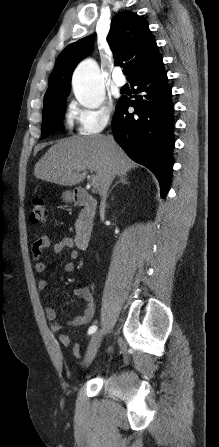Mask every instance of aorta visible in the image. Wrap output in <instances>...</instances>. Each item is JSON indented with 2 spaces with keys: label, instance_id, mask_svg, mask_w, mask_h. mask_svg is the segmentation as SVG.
Instances as JSON below:
<instances>
[{
  "label": "aorta",
  "instance_id": "1",
  "mask_svg": "<svg viewBox=\"0 0 219 447\" xmlns=\"http://www.w3.org/2000/svg\"><path fill=\"white\" fill-rule=\"evenodd\" d=\"M72 85L77 101L84 107L97 109L105 99L100 70L92 59L82 61L75 69Z\"/></svg>",
  "mask_w": 219,
  "mask_h": 447
}]
</instances>
